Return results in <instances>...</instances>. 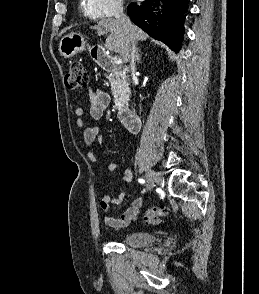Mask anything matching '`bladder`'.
<instances>
[{
    "mask_svg": "<svg viewBox=\"0 0 259 294\" xmlns=\"http://www.w3.org/2000/svg\"><path fill=\"white\" fill-rule=\"evenodd\" d=\"M156 236L148 232H132L124 235L120 243L129 247H145L154 243Z\"/></svg>",
    "mask_w": 259,
    "mask_h": 294,
    "instance_id": "bladder-1",
    "label": "bladder"
}]
</instances>
